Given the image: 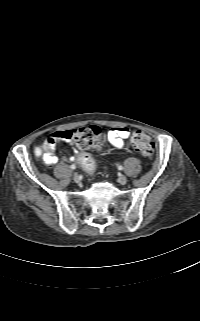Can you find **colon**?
<instances>
[{
	"label": "colon",
	"mask_w": 200,
	"mask_h": 321,
	"mask_svg": "<svg viewBox=\"0 0 200 321\" xmlns=\"http://www.w3.org/2000/svg\"><path fill=\"white\" fill-rule=\"evenodd\" d=\"M67 137L74 141L82 149L76 153L75 159L82 168L88 172H94L96 168L95 161L85 149L101 150L104 145V135L97 126L82 127L74 129L67 134ZM132 143L137 152L143 157H151L154 151V143L151 138L142 133L136 132L132 136Z\"/></svg>",
	"instance_id": "colon-1"
}]
</instances>
